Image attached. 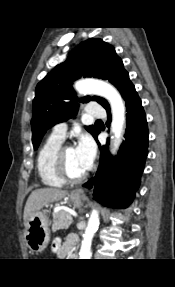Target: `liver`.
Returning <instances> with one entry per match:
<instances>
[{
	"label": "liver",
	"instance_id": "obj_1",
	"mask_svg": "<svg viewBox=\"0 0 175 287\" xmlns=\"http://www.w3.org/2000/svg\"><path fill=\"white\" fill-rule=\"evenodd\" d=\"M67 195L66 190L57 188H40L32 191L24 208V225L33 213L39 212L45 205L57 202Z\"/></svg>",
	"mask_w": 175,
	"mask_h": 287
}]
</instances>
